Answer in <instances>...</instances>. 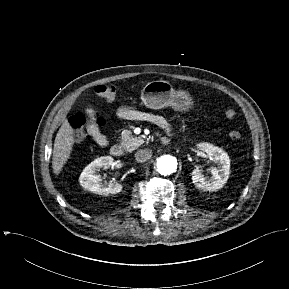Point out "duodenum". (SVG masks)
Instances as JSON below:
<instances>
[{"label": "duodenum", "instance_id": "obj_1", "mask_svg": "<svg viewBox=\"0 0 289 289\" xmlns=\"http://www.w3.org/2000/svg\"><path fill=\"white\" fill-rule=\"evenodd\" d=\"M110 154L114 157L123 155V148L119 144H114L110 147Z\"/></svg>", "mask_w": 289, "mask_h": 289}]
</instances>
